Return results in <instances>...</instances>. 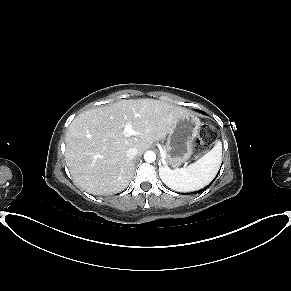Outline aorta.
<instances>
[{
	"label": "aorta",
	"instance_id": "obj_1",
	"mask_svg": "<svg viewBox=\"0 0 291 291\" xmlns=\"http://www.w3.org/2000/svg\"><path fill=\"white\" fill-rule=\"evenodd\" d=\"M144 159L146 162L152 163L156 160V154L153 151H147L144 154Z\"/></svg>",
	"mask_w": 291,
	"mask_h": 291
}]
</instances>
